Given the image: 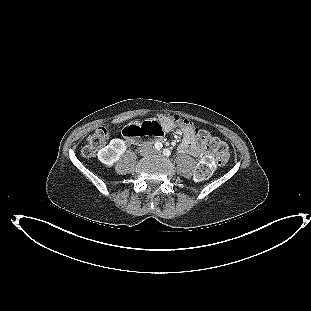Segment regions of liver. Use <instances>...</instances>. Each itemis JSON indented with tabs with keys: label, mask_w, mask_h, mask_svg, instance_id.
Segmentation results:
<instances>
[{
	"label": "liver",
	"mask_w": 311,
	"mask_h": 311,
	"mask_svg": "<svg viewBox=\"0 0 311 311\" xmlns=\"http://www.w3.org/2000/svg\"><path fill=\"white\" fill-rule=\"evenodd\" d=\"M130 118V116L128 117V116H126V117H119V118H117V119H114L113 121H112V123H114V124H117V123H120V122H122V121H124V120H127V119H129Z\"/></svg>",
	"instance_id": "obj_1"
}]
</instances>
